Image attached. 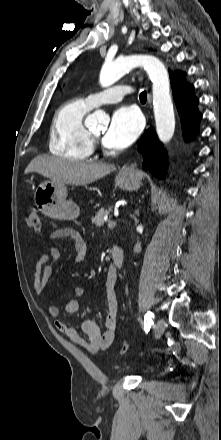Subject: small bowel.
<instances>
[{
	"label": "small bowel",
	"mask_w": 221,
	"mask_h": 440,
	"mask_svg": "<svg viewBox=\"0 0 221 440\" xmlns=\"http://www.w3.org/2000/svg\"><path fill=\"white\" fill-rule=\"evenodd\" d=\"M60 238H70L75 242V261L82 262L88 252V242L81 236V234L73 228H61L53 231L50 234L51 240ZM60 251L57 247L51 246L48 251L43 254L37 262L36 272L34 274V290L36 293H41L47 281L54 272V268L60 259ZM117 275L116 272L110 268L106 274L103 282V290L106 300V316H105V331L102 333L92 319L83 321L81 329L85 337L81 336L79 332L69 325L66 321L60 318L59 308L50 306L48 308L49 316L54 320L56 328L65 336H67L73 343L81 346L90 353H96L100 350L107 349L114 341L117 330L118 321V297L116 293ZM84 294L82 287L74 289L76 298L66 302L64 311L68 315L75 314L79 309V301L77 297Z\"/></svg>",
	"instance_id": "small-bowel-1"
}]
</instances>
